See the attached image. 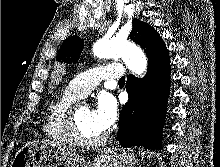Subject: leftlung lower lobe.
<instances>
[{"label": "left lung lower lobe", "mask_w": 220, "mask_h": 167, "mask_svg": "<svg viewBox=\"0 0 220 167\" xmlns=\"http://www.w3.org/2000/svg\"><path fill=\"white\" fill-rule=\"evenodd\" d=\"M144 78L128 75V102L120 111L118 141L122 147L161 148V130L170 87V60L166 49L148 56Z\"/></svg>", "instance_id": "obj_1"}]
</instances>
